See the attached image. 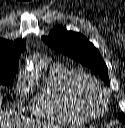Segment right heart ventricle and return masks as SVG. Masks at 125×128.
<instances>
[{
  "instance_id": "e07e8e85",
  "label": "right heart ventricle",
  "mask_w": 125,
  "mask_h": 128,
  "mask_svg": "<svg viewBox=\"0 0 125 128\" xmlns=\"http://www.w3.org/2000/svg\"><path fill=\"white\" fill-rule=\"evenodd\" d=\"M79 74L62 64L50 66L46 79L31 102L35 115L70 124H82L89 118L76 106L70 87Z\"/></svg>"
}]
</instances>
